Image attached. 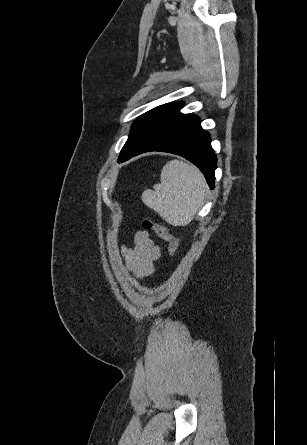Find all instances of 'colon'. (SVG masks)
<instances>
[{"label":"colon","instance_id":"5ec220e1","mask_svg":"<svg viewBox=\"0 0 307 445\" xmlns=\"http://www.w3.org/2000/svg\"><path fill=\"white\" fill-rule=\"evenodd\" d=\"M142 227L145 231L153 230L159 238L167 242V249L170 257H173L176 254L179 240L167 226L155 223L151 219L146 218L142 221Z\"/></svg>","mask_w":307,"mask_h":445}]
</instances>
